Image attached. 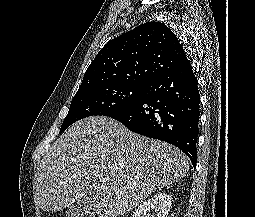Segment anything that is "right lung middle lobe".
I'll list each match as a JSON object with an SVG mask.
<instances>
[{"label":"right lung middle lobe","mask_w":255,"mask_h":217,"mask_svg":"<svg viewBox=\"0 0 255 217\" xmlns=\"http://www.w3.org/2000/svg\"><path fill=\"white\" fill-rule=\"evenodd\" d=\"M145 89L146 85L123 84L77 91L59 133L80 119L94 115H106L130 106Z\"/></svg>","instance_id":"obj_1"}]
</instances>
